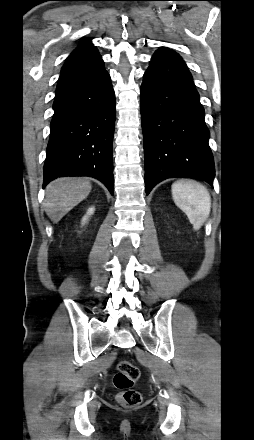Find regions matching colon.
Masks as SVG:
<instances>
[{
    "label": "colon",
    "instance_id": "1",
    "mask_svg": "<svg viewBox=\"0 0 254 440\" xmlns=\"http://www.w3.org/2000/svg\"><path fill=\"white\" fill-rule=\"evenodd\" d=\"M140 377L139 369L126 360H121L117 364V371L113 378V383L118 393L116 400L125 408H132L140 405L142 395L133 388Z\"/></svg>",
    "mask_w": 254,
    "mask_h": 440
}]
</instances>
